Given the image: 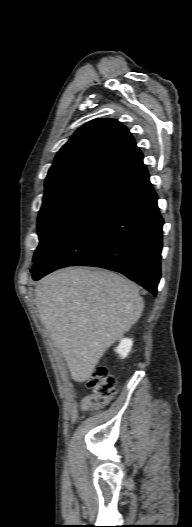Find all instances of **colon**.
I'll list each match as a JSON object with an SVG mask.
<instances>
[{
	"label": "colon",
	"instance_id": "5ec220e1",
	"mask_svg": "<svg viewBox=\"0 0 192 527\" xmlns=\"http://www.w3.org/2000/svg\"><path fill=\"white\" fill-rule=\"evenodd\" d=\"M90 394L82 402L85 411H97L106 406L115 395L116 380L105 366H96L86 381Z\"/></svg>",
	"mask_w": 192,
	"mask_h": 527
}]
</instances>
